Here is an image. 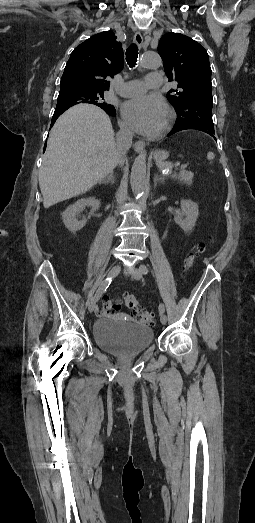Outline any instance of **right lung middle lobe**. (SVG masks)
<instances>
[{
	"label": "right lung middle lobe",
	"instance_id": "dd1d6c3e",
	"mask_svg": "<svg viewBox=\"0 0 255 523\" xmlns=\"http://www.w3.org/2000/svg\"><path fill=\"white\" fill-rule=\"evenodd\" d=\"M104 100L103 92L87 91L79 89L60 90L57 103L60 102H84L91 103Z\"/></svg>",
	"mask_w": 255,
	"mask_h": 523
}]
</instances>
